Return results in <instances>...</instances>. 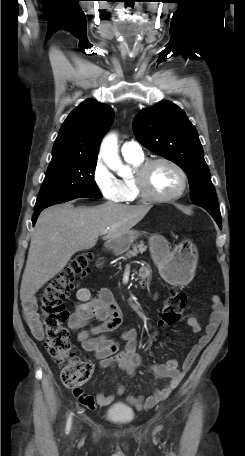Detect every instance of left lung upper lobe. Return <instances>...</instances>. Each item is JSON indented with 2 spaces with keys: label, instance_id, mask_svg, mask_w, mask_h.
I'll return each mask as SVG.
<instances>
[{
  "label": "left lung upper lobe",
  "instance_id": "1",
  "mask_svg": "<svg viewBox=\"0 0 245 456\" xmlns=\"http://www.w3.org/2000/svg\"><path fill=\"white\" fill-rule=\"evenodd\" d=\"M133 128L144 147L184 170L193 202L206 209L213 218H221L197 131L184 111L169 101H162L138 112Z\"/></svg>",
  "mask_w": 245,
  "mask_h": 456
}]
</instances>
